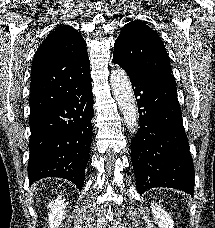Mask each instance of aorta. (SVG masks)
I'll return each mask as SVG.
<instances>
[{
  "mask_svg": "<svg viewBox=\"0 0 215 228\" xmlns=\"http://www.w3.org/2000/svg\"><path fill=\"white\" fill-rule=\"evenodd\" d=\"M110 82L113 96L120 112L123 114L124 122L128 130L136 134L139 128V114L132 86L126 72L122 68H114Z\"/></svg>",
  "mask_w": 215,
  "mask_h": 228,
  "instance_id": "obj_1",
  "label": "aorta"
}]
</instances>
